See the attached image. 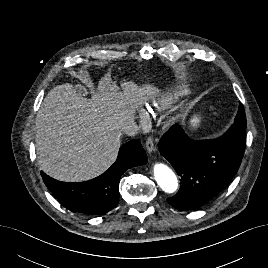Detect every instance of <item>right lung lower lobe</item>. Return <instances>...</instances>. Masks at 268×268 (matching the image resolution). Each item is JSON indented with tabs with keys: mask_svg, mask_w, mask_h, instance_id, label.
<instances>
[{
	"mask_svg": "<svg viewBox=\"0 0 268 268\" xmlns=\"http://www.w3.org/2000/svg\"><path fill=\"white\" fill-rule=\"evenodd\" d=\"M147 155L139 140L121 146L116 162L102 175L81 183L57 181L42 172L45 185L68 210L104 215L119 202V181L129 168L146 164Z\"/></svg>",
	"mask_w": 268,
	"mask_h": 268,
	"instance_id": "1",
	"label": "right lung lower lobe"
}]
</instances>
